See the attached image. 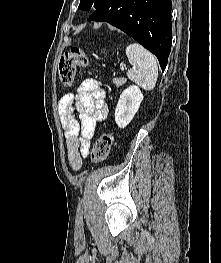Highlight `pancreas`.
I'll list each match as a JSON object with an SVG mask.
<instances>
[{
	"label": "pancreas",
	"instance_id": "obj_1",
	"mask_svg": "<svg viewBox=\"0 0 221 263\" xmlns=\"http://www.w3.org/2000/svg\"><path fill=\"white\" fill-rule=\"evenodd\" d=\"M113 83L115 84L117 88H119L120 86L126 83V79L125 78H114Z\"/></svg>",
	"mask_w": 221,
	"mask_h": 263
}]
</instances>
